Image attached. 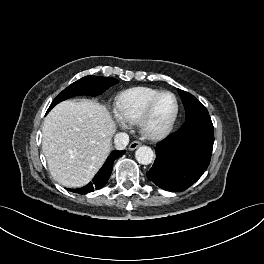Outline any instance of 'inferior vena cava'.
<instances>
[{
    "label": "inferior vena cava",
    "mask_w": 264,
    "mask_h": 264,
    "mask_svg": "<svg viewBox=\"0 0 264 264\" xmlns=\"http://www.w3.org/2000/svg\"><path fill=\"white\" fill-rule=\"evenodd\" d=\"M129 142V136L126 133L120 132L115 135L114 145L117 150H123L126 148Z\"/></svg>",
    "instance_id": "602c4592"
}]
</instances>
